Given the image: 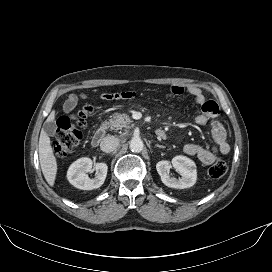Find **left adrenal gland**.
Instances as JSON below:
<instances>
[{
  "mask_svg": "<svg viewBox=\"0 0 272 272\" xmlns=\"http://www.w3.org/2000/svg\"><path fill=\"white\" fill-rule=\"evenodd\" d=\"M155 147L163 148V146H161V145H159V144L155 145Z\"/></svg>",
  "mask_w": 272,
  "mask_h": 272,
  "instance_id": "a2214340",
  "label": "left adrenal gland"
}]
</instances>
